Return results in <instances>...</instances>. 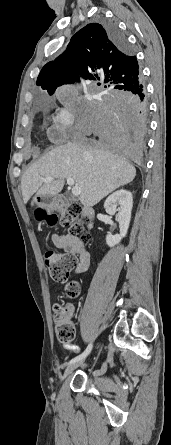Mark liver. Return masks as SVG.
I'll return each instance as SVG.
<instances>
[{
	"instance_id": "1",
	"label": "liver",
	"mask_w": 171,
	"mask_h": 445,
	"mask_svg": "<svg viewBox=\"0 0 171 445\" xmlns=\"http://www.w3.org/2000/svg\"><path fill=\"white\" fill-rule=\"evenodd\" d=\"M135 167L122 157H109L97 144L72 142L59 146L30 166L21 179L24 203L31 196H56L64 179H74L81 188L80 202L91 207L115 189L130 183ZM52 177L51 182L45 179Z\"/></svg>"
}]
</instances>
